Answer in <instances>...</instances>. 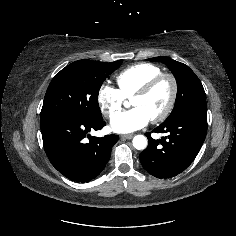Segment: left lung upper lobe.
<instances>
[{
  "label": "left lung upper lobe",
  "instance_id": "obj_1",
  "mask_svg": "<svg viewBox=\"0 0 236 236\" xmlns=\"http://www.w3.org/2000/svg\"><path fill=\"white\" fill-rule=\"evenodd\" d=\"M148 60L164 63L172 71L177 81L175 105L172 113L163 123L170 122L191 109L206 107V96L202 83L187 65L168 57H154Z\"/></svg>",
  "mask_w": 236,
  "mask_h": 236
}]
</instances>
